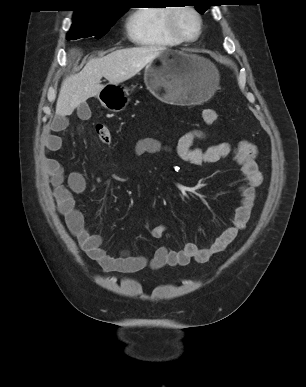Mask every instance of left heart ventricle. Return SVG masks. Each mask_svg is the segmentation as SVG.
<instances>
[{
    "label": "left heart ventricle",
    "mask_w": 306,
    "mask_h": 387,
    "mask_svg": "<svg viewBox=\"0 0 306 387\" xmlns=\"http://www.w3.org/2000/svg\"><path fill=\"white\" fill-rule=\"evenodd\" d=\"M177 25L184 35L194 37L197 32L198 22L196 17L187 10L177 14Z\"/></svg>",
    "instance_id": "left-heart-ventricle-1"
}]
</instances>
